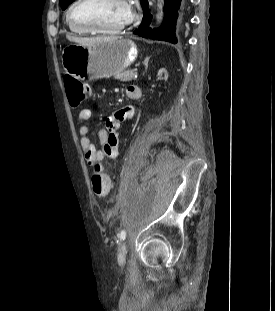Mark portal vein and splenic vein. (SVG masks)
Masks as SVG:
<instances>
[{"label": "portal vein and splenic vein", "instance_id": "1", "mask_svg": "<svg viewBox=\"0 0 275 311\" xmlns=\"http://www.w3.org/2000/svg\"><path fill=\"white\" fill-rule=\"evenodd\" d=\"M137 71H138V68H135V69H134V72L137 73Z\"/></svg>", "mask_w": 275, "mask_h": 311}]
</instances>
